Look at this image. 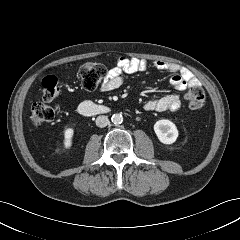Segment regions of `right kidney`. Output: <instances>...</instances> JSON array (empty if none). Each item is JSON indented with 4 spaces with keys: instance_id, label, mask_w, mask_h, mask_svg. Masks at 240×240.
<instances>
[{
    "instance_id": "right-kidney-1",
    "label": "right kidney",
    "mask_w": 240,
    "mask_h": 240,
    "mask_svg": "<svg viewBox=\"0 0 240 240\" xmlns=\"http://www.w3.org/2000/svg\"><path fill=\"white\" fill-rule=\"evenodd\" d=\"M73 134H74L73 128H67V129H65V131H64V141H63V144H64V147H65L66 149H69V148L72 146V137H73Z\"/></svg>"
}]
</instances>
